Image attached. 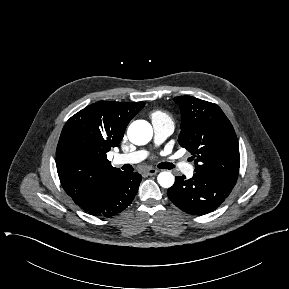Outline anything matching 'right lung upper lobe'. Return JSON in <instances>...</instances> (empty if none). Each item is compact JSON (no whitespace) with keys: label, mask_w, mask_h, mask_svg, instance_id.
<instances>
[{"label":"right lung upper lobe","mask_w":289,"mask_h":289,"mask_svg":"<svg viewBox=\"0 0 289 289\" xmlns=\"http://www.w3.org/2000/svg\"><path fill=\"white\" fill-rule=\"evenodd\" d=\"M144 106V102L99 101L66 122L56 166L64 190L77 205L122 173L111 166L106 153L120 144L128 123Z\"/></svg>","instance_id":"1"}]
</instances>
